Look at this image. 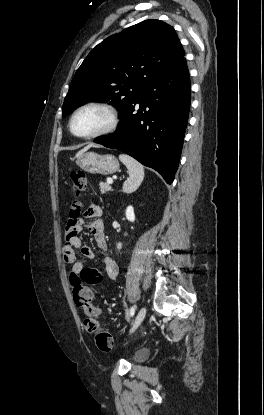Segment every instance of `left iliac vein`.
Returning a JSON list of instances; mask_svg holds the SVG:
<instances>
[{
    "instance_id": "obj_1",
    "label": "left iliac vein",
    "mask_w": 264,
    "mask_h": 415,
    "mask_svg": "<svg viewBox=\"0 0 264 415\" xmlns=\"http://www.w3.org/2000/svg\"><path fill=\"white\" fill-rule=\"evenodd\" d=\"M146 315V307H142L138 314L136 315V318L132 324V328L130 330V333L134 332L142 323L143 319L145 318Z\"/></svg>"
}]
</instances>
